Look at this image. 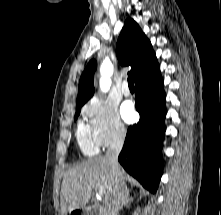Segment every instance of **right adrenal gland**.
Instances as JSON below:
<instances>
[{"label":"right adrenal gland","mask_w":221,"mask_h":215,"mask_svg":"<svg viewBox=\"0 0 221 215\" xmlns=\"http://www.w3.org/2000/svg\"><path fill=\"white\" fill-rule=\"evenodd\" d=\"M134 198L133 197H130V193H129V190H127L126 192V195H125V199L123 201V204L121 206V210L123 209V206H128L131 204V202H133Z\"/></svg>","instance_id":"right-adrenal-gland-1"}]
</instances>
